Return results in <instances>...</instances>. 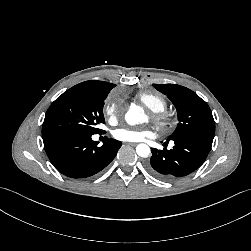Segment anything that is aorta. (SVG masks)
<instances>
[{
  "mask_svg": "<svg viewBox=\"0 0 251 251\" xmlns=\"http://www.w3.org/2000/svg\"><path fill=\"white\" fill-rule=\"evenodd\" d=\"M125 120L129 125H135L146 121V115L140 106L133 105L125 114ZM136 153L140 157H147L150 154V148L146 144H138L136 147Z\"/></svg>",
  "mask_w": 251,
  "mask_h": 251,
  "instance_id": "obj_1",
  "label": "aorta"
}]
</instances>
